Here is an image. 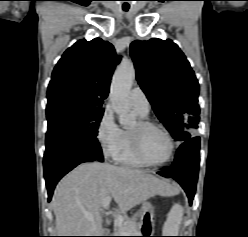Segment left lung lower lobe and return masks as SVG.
I'll return each instance as SVG.
<instances>
[{
  "label": "left lung lower lobe",
  "mask_w": 248,
  "mask_h": 237,
  "mask_svg": "<svg viewBox=\"0 0 248 237\" xmlns=\"http://www.w3.org/2000/svg\"><path fill=\"white\" fill-rule=\"evenodd\" d=\"M199 148V137L185 141L178 148L171 169L158 172L164 177L175 179L185 190L190 204L194 198L199 171Z\"/></svg>",
  "instance_id": "obj_1"
}]
</instances>
